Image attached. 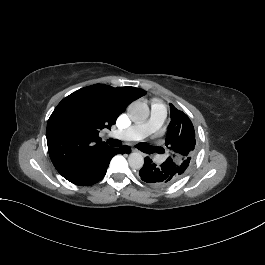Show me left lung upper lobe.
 Returning a JSON list of instances; mask_svg holds the SVG:
<instances>
[{
    "instance_id": "left-lung-upper-lobe-1",
    "label": "left lung upper lobe",
    "mask_w": 265,
    "mask_h": 265,
    "mask_svg": "<svg viewBox=\"0 0 265 265\" xmlns=\"http://www.w3.org/2000/svg\"><path fill=\"white\" fill-rule=\"evenodd\" d=\"M170 105L171 122L168 127L165 145L169 149L168 160L180 168L181 177L186 173L194 154L195 131L189 117ZM164 152V149L162 148Z\"/></svg>"
}]
</instances>
